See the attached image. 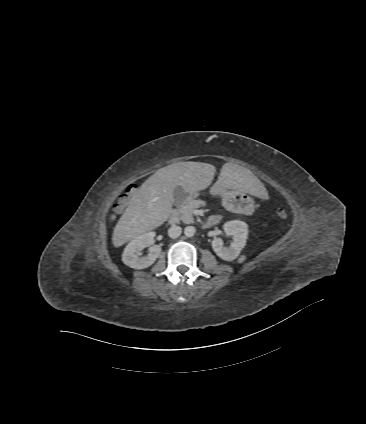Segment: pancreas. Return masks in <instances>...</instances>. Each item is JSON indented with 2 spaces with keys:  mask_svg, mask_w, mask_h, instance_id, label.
Masks as SVG:
<instances>
[{
  "mask_svg": "<svg viewBox=\"0 0 366 424\" xmlns=\"http://www.w3.org/2000/svg\"><path fill=\"white\" fill-rule=\"evenodd\" d=\"M201 206H205V203L200 200L185 202L179 209L180 219L186 224L194 223L193 212Z\"/></svg>",
  "mask_w": 366,
  "mask_h": 424,
  "instance_id": "1",
  "label": "pancreas"
}]
</instances>
